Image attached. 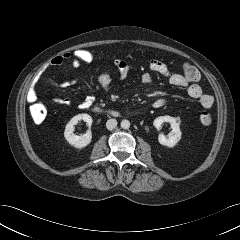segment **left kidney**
<instances>
[{"label": "left kidney", "mask_w": 240, "mask_h": 240, "mask_svg": "<svg viewBox=\"0 0 240 240\" xmlns=\"http://www.w3.org/2000/svg\"><path fill=\"white\" fill-rule=\"evenodd\" d=\"M163 123H170L172 132L168 137L159 134L158 141L161 145L173 148L181 139L180 119L171 116H160L154 119L153 125L157 130L161 129Z\"/></svg>", "instance_id": "left-kidney-1"}]
</instances>
